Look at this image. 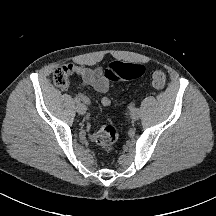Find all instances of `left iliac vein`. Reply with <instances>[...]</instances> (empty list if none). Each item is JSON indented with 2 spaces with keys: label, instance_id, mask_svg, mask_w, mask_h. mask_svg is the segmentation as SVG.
I'll use <instances>...</instances> for the list:
<instances>
[{
  "label": "left iliac vein",
  "instance_id": "obj_1",
  "mask_svg": "<svg viewBox=\"0 0 216 216\" xmlns=\"http://www.w3.org/2000/svg\"><path fill=\"white\" fill-rule=\"evenodd\" d=\"M130 116L133 120H138L140 117V111L138 108H135L133 110H131L130 112Z\"/></svg>",
  "mask_w": 216,
  "mask_h": 216
}]
</instances>
